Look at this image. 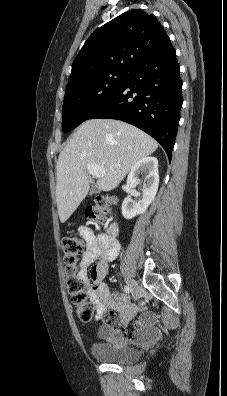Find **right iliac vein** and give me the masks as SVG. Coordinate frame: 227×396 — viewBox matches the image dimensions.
Returning <instances> with one entry per match:
<instances>
[{
    "label": "right iliac vein",
    "instance_id": "obj_1",
    "mask_svg": "<svg viewBox=\"0 0 227 396\" xmlns=\"http://www.w3.org/2000/svg\"><path fill=\"white\" fill-rule=\"evenodd\" d=\"M127 284L130 286L132 291V295L135 301H138L141 298V289L137 282L133 279H127Z\"/></svg>",
    "mask_w": 227,
    "mask_h": 396
}]
</instances>
